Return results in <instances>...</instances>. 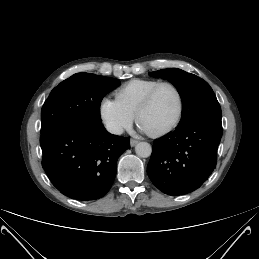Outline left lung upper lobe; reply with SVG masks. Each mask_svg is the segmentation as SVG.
<instances>
[{"instance_id": "obj_1", "label": "left lung upper lobe", "mask_w": 259, "mask_h": 259, "mask_svg": "<svg viewBox=\"0 0 259 259\" xmlns=\"http://www.w3.org/2000/svg\"><path fill=\"white\" fill-rule=\"evenodd\" d=\"M170 81L182 99V117L179 126L198 119L221 121V108L210 85L200 77L181 69L170 68L149 73Z\"/></svg>"}]
</instances>
